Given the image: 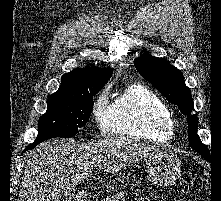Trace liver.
Returning <instances> with one entry per match:
<instances>
[{"mask_svg": "<svg viewBox=\"0 0 221 201\" xmlns=\"http://www.w3.org/2000/svg\"><path fill=\"white\" fill-rule=\"evenodd\" d=\"M130 137H109L90 143L47 141L25 155L18 201H59L65 187L91 178L94 168L118 172L150 155L167 152Z\"/></svg>", "mask_w": 221, "mask_h": 201, "instance_id": "6515ba94", "label": "liver"}]
</instances>
